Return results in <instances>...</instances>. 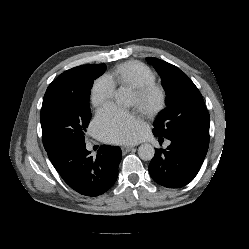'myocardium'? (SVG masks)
Returning <instances> with one entry per match:
<instances>
[{
	"label": "myocardium",
	"instance_id": "myocardium-1",
	"mask_svg": "<svg viewBox=\"0 0 249 249\" xmlns=\"http://www.w3.org/2000/svg\"><path fill=\"white\" fill-rule=\"evenodd\" d=\"M133 93L136 95L137 100H138V105L136 109L147 118L155 117L166 106V102H167L166 89L157 82L143 84L133 89ZM151 93H156L157 101L152 107L145 108L144 102Z\"/></svg>",
	"mask_w": 249,
	"mask_h": 249
}]
</instances>
